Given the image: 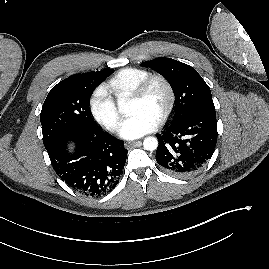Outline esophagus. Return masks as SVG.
I'll list each match as a JSON object with an SVG mask.
<instances>
[{
	"label": "esophagus",
	"instance_id": "esophagus-1",
	"mask_svg": "<svg viewBox=\"0 0 269 269\" xmlns=\"http://www.w3.org/2000/svg\"><path fill=\"white\" fill-rule=\"evenodd\" d=\"M140 141H127L125 142V148H129L133 145H136L137 143H139Z\"/></svg>",
	"mask_w": 269,
	"mask_h": 269
}]
</instances>
